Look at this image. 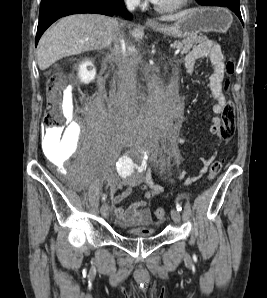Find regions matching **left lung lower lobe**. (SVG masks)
Segmentation results:
<instances>
[{"mask_svg":"<svg viewBox=\"0 0 267 298\" xmlns=\"http://www.w3.org/2000/svg\"><path fill=\"white\" fill-rule=\"evenodd\" d=\"M203 5L205 6H224L230 8L232 11L235 12V14L239 17V19L242 21L241 13H240V7H239V1L234 0H208Z\"/></svg>","mask_w":267,"mask_h":298,"instance_id":"0a47b994","label":"left lung lower lobe"}]
</instances>
